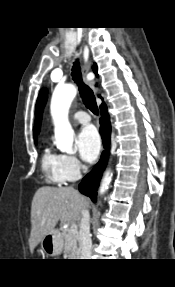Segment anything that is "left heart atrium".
Masks as SVG:
<instances>
[{"instance_id": "1", "label": "left heart atrium", "mask_w": 175, "mask_h": 287, "mask_svg": "<svg viewBox=\"0 0 175 287\" xmlns=\"http://www.w3.org/2000/svg\"><path fill=\"white\" fill-rule=\"evenodd\" d=\"M76 145L80 157L84 161L91 163L99 155L101 141L97 131L93 127H86L78 134Z\"/></svg>"}]
</instances>
